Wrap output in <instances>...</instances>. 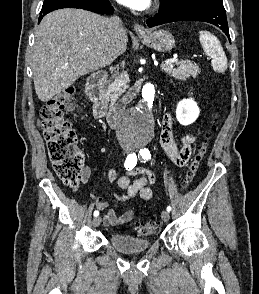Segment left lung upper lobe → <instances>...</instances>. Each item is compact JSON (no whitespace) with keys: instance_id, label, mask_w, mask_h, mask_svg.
<instances>
[{"instance_id":"left-lung-upper-lobe-1","label":"left lung upper lobe","mask_w":259,"mask_h":294,"mask_svg":"<svg viewBox=\"0 0 259 294\" xmlns=\"http://www.w3.org/2000/svg\"><path fill=\"white\" fill-rule=\"evenodd\" d=\"M196 0H161L159 12L169 11L186 4H189ZM222 1V0H219Z\"/></svg>"}]
</instances>
